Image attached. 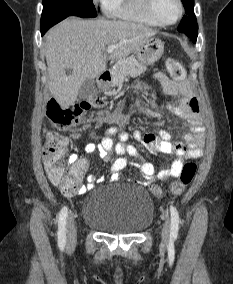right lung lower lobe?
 <instances>
[{"label": "right lung lower lobe", "mask_w": 233, "mask_h": 284, "mask_svg": "<svg viewBox=\"0 0 233 284\" xmlns=\"http://www.w3.org/2000/svg\"><path fill=\"white\" fill-rule=\"evenodd\" d=\"M49 28L50 27H46V28L41 29V35L43 36Z\"/></svg>", "instance_id": "98d812e1"}]
</instances>
